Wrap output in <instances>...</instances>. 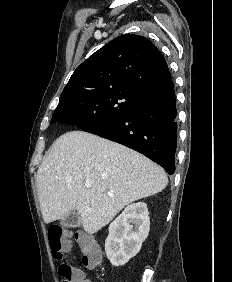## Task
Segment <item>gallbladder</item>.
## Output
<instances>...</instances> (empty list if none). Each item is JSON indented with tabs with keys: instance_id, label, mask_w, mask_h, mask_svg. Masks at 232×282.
<instances>
[{
	"instance_id": "bac80fb5",
	"label": "gallbladder",
	"mask_w": 232,
	"mask_h": 282,
	"mask_svg": "<svg viewBox=\"0 0 232 282\" xmlns=\"http://www.w3.org/2000/svg\"><path fill=\"white\" fill-rule=\"evenodd\" d=\"M81 223V218L78 212L71 211L60 220V225L63 227H76Z\"/></svg>"
}]
</instances>
